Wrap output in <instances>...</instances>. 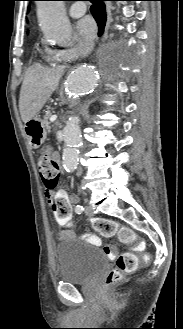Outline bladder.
<instances>
[{"label": "bladder", "instance_id": "1", "mask_svg": "<svg viewBox=\"0 0 183 329\" xmlns=\"http://www.w3.org/2000/svg\"><path fill=\"white\" fill-rule=\"evenodd\" d=\"M59 279L67 283H86L105 272L108 259L94 245L73 237L63 238L55 246Z\"/></svg>", "mask_w": 183, "mask_h": 329}]
</instances>
